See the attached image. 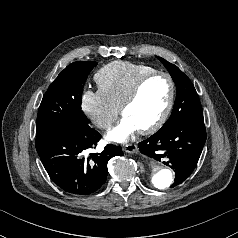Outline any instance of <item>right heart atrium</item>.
<instances>
[{
  "label": "right heart atrium",
  "instance_id": "right-heart-atrium-1",
  "mask_svg": "<svg viewBox=\"0 0 238 238\" xmlns=\"http://www.w3.org/2000/svg\"><path fill=\"white\" fill-rule=\"evenodd\" d=\"M81 107L91 122L100 129L109 128L118 115V108L99 89L84 91Z\"/></svg>",
  "mask_w": 238,
  "mask_h": 238
}]
</instances>
